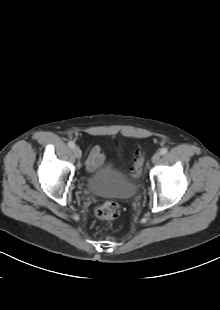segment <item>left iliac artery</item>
Wrapping results in <instances>:
<instances>
[{"label":"left iliac artery","mask_w":220,"mask_h":310,"mask_svg":"<svg viewBox=\"0 0 220 310\" xmlns=\"http://www.w3.org/2000/svg\"><path fill=\"white\" fill-rule=\"evenodd\" d=\"M167 152H168V149H167L166 147H163V148L160 150L161 155H165V154H167Z\"/></svg>","instance_id":"left-iliac-artery-1"}]
</instances>
